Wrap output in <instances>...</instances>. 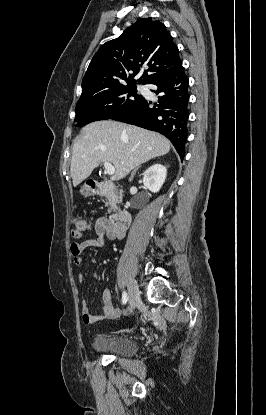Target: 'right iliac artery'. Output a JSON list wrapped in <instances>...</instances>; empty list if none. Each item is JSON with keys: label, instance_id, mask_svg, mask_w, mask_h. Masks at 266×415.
Masks as SVG:
<instances>
[{"label": "right iliac artery", "instance_id": "obj_1", "mask_svg": "<svg viewBox=\"0 0 266 415\" xmlns=\"http://www.w3.org/2000/svg\"><path fill=\"white\" fill-rule=\"evenodd\" d=\"M127 301H128V295H127L126 292H123V294H122V303L126 304Z\"/></svg>", "mask_w": 266, "mask_h": 415}]
</instances>
